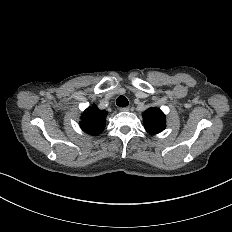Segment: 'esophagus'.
I'll use <instances>...</instances> for the list:
<instances>
[{
  "label": "esophagus",
  "mask_w": 232,
  "mask_h": 232,
  "mask_svg": "<svg viewBox=\"0 0 232 232\" xmlns=\"http://www.w3.org/2000/svg\"><path fill=\"white\" fill-rule=\"evenodd\" d=\"M129 109H130L129 107H120V108H119V110H120V111H123V112L129 111Z\"/></svg>",
  "instance_id": "esophagus-1"
}]
</instances>
